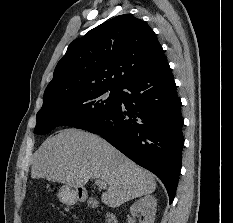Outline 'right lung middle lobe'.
<instances>
[{
	"label": "right lung middle lobe",
	"instance_id": "obj_1",
	"mask_svg": "<svg viewBox=\"0 0 233 223\" xmlns=\"http://www.w3.org/2000/svg\"><path fill=\"white\" fill-rule=\"evenodd\" d=\"M119 88L98 87L43 104L37 113L36 134H47L59 126L79 128L118 104ZM109 93V95L107 94Z\"/></svg>",
	"mask_w": 233,
	"mask_h": 223
}]
</instances>
